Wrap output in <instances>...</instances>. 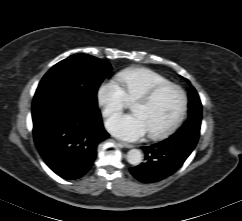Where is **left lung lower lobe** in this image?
<instances>
[{
	"label": "left lung lower lobe",
	"instance_id": "0a47b994",
	"mask_svg": "<svg viewBox=\"0 0 242 221\" xmlns=\"http://www.w3.org/2000/svg\"><path fill=\"white\" fill-rule=\"evenodd\" d=\"M198 138L196 132L175 133L162 142L142 147L145 162L130 168L131 174L142 183L158 182L171 176L194 150Z\"/></svg>",
	"mask_w": 242,
	"mask_h": 221
}]
</instances>
